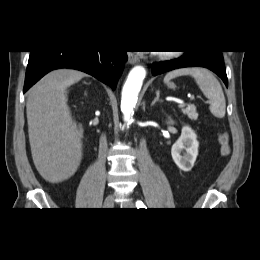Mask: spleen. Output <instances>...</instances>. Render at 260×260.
Instances as JSON below:
<instances>
[{"label":"spleen","mask_w":260,"mask_h":260,"mask_svg":"<svg viewBox=\"0 0 260 260\" xmlns=\"http://www.w3.org/2000/svg\"><path fill=\"white\" fill-rule=\"evenodd\" d=\"M182 75H190L195 79L202 93L210 101V112L217 118H223L226 112V101L222 87L214 75L199 67L182 68L167 73L164 82L168 83L171 79Z\"/></svg>","instance_id":"spleen-1"}]
</instances>
